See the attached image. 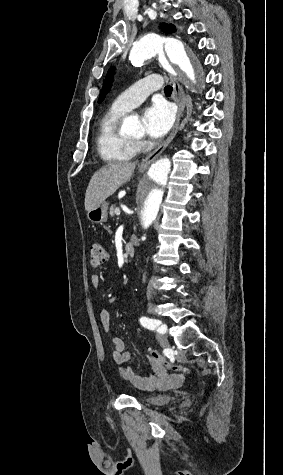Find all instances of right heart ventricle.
<instances>
[{
	"mask_svg": "<svg viewBox=\"0 0 283 475\" xmlns=\"http://www.w3.org/2000/svg\"><path fill=\"white\" fill-rule=\"evenodd\" d=\"M125 113L112 105L98 122L96 144L102 158L109 163L131 160L138 150L135 143L121 132L120 120Z\"/></svg>",
	"mask_w": 283,
	"mask_h": 475,
	"instance_id": "right-heart-ventricle-1",
	"label": "right heart ventricle"
}]
</instances>
